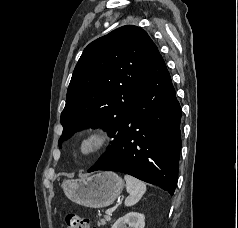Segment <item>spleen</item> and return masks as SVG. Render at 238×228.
<instances>
[{
  "instance_id": "spleen-1",
  "label": "spleen",
  "mask_w": 238,
  "mask_h": 228,
  "mask_svg": "<svg viewBox=\"0 0 238 228\" xmlns=\"http://www.w3.org/2000/svg\"><path fill=\"white\" fill-rule=\"evenodd\" d=\"M126 190L129 196L125 199V206L130 207L135 205L146 192V185L139 179L130 175H125Z\"/></svg>"
}]
</instances>
